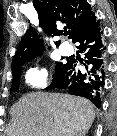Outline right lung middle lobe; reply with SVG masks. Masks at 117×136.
I'll return each mask as SVG.
<instances>
[{"label": "right lung middle lobe", "instance_id": "dd1d6c3e", "mask_svg": "<svg viewBox=\"0 0 117 136\" xmlns=\"http://www.w3.org/2000/svg\"><path fill=\"white\" fill-rule=\"evenodd\" d=\"M23 65V64H22ZM16 67L15 69L12 70V74H13V80H12V86H11V90L16 91L20 82V75H21V66ZM63 63L61 62H56V68H55V74L58 72V70L62 67ZM54 74V75H55ZM53 75V76H54Z\"/></svg>", "mask_w": 117, "mask_h": 136}]
</instances>
